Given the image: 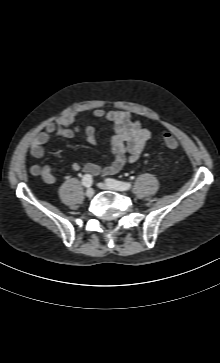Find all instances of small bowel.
Masks as SVG:
<instances>
[{
	"mask_svg": "<svg viewBox=\"0 0 220 363\" xmlns=\"http://www.w3.org/2000/svg\"><path fill=\"white\" fill-rule=\"evenodd\" d=\"M94 118H105L113 124L114 132L110 136V148L114 154L113 162L105 167L95 163L81 164L75 162L72 164L74 171H83L92 175H113L119 172L126 163L136 162L145 145L151 139V132L144 128L142 124L132 118L130 113L120 110H111L105 112L102 109H96L93 112ZM78 115L71 113L57 122H50L45 129L38 133L31 141L30 152L36 159H41L45 155L44 145L47 144L54 133H58L65 138H73L83 133L86 141L90 144L96 142V132L93 126L86 125L84 129L72 127L76 122ZM31 174L40 176L46 183L53 184L57 181L56 175L49 166L32 165Z\"/></svg>",
	"mask_w": 220,
	"mask_h": 363,
	"instance_id": "obj_1",
	"label": "small bowel"
}]
</instances>
